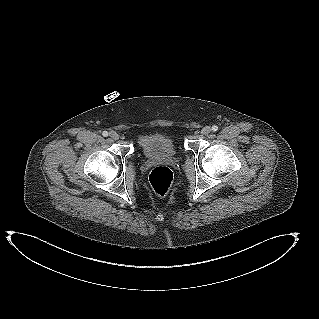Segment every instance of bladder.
Returning <instances> with one entry per match:
<instances>
[{
	"mask_svg": "<svg viewBox=\"0 0 319 319\" xmlns=\"http://www.w3.org/2000/svg\"><path fill=\"white\" fill-rule=\"evenodd\" d=\"M140 153L149 159L175 158L178 148L172 136L166 133H151L138 139Z\"/></svg>",
	"mask_w": 319,
	"mask_h": 319,
	"instance_id": "obj_1",
	"label": "bladder"
}]
</instances>
